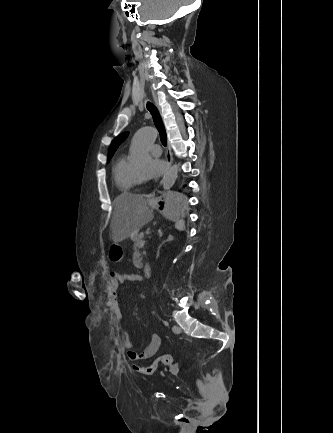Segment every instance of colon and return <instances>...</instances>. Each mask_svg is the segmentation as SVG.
<instances>
[{
  "mask_svg": "<svg viewBox=\"0 0 333 433\" xmlns=\"http://www.w3.org/2000/svg\"><path fill=\"white\" fill-rule=\"evenodd\" d=\"M108 250L112 265H121L125 250L124 244H109ZM159 364L166 365L169 368L177 366L176 360L173 356L170 354H163L157 357L151 364L147 366H135L134 369L141 374L152 375L157 370ZM199 387L203 389V381H199Z\"/></svg>",
  "mask_w": 333,
  "mask_h": 433,
  "instance_id": "obj_1",
  "label": "colon"
}]
</instances>
